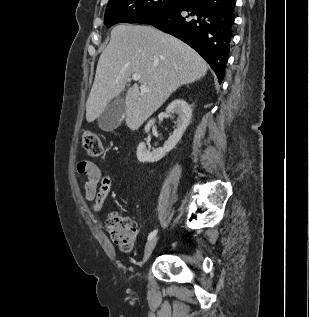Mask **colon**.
I'll list each match as a JSON object with an SVG mask.
<instances>
[{"label": "colon", "instance_id": "obj_1", "mask_svg": "<svg viewBox=\"0 0 309 317\" xmlns=\"http://www.w3.org/2000/svg\"><path fill=\"white\" fill-rule=\"evenodd\" d=\"M82 145L87 154L92 157L102 154L101 140L93 131L83 132ZM106 229L113 243L120 249L124 251L132 249L135 240V226L131 219L112 213L107 219Z\"/></svg>", "mask_w": 309, "mask_h": 317}]
</instances>
